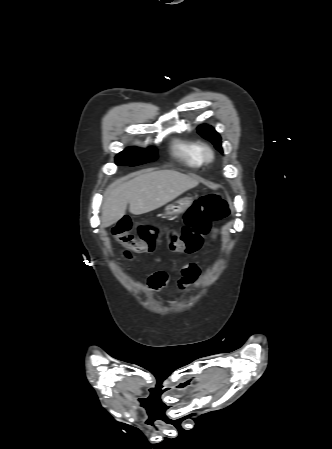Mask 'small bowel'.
Instances as JSON below:
<instances>
[{
    "mask_svg": "<svg viewBox=\"0 0 332 449\" xmlns=\"http://www.w3.org/2000/svg\"><path fill=\"white\" fill-rule=\"evenodd\" d=\"M161 258H155L151 264L161 262ZM182 277L177 282L180 292L184 291L190 284L194 283L200 276V269L196 263L188 261L181 266ZM169 284V278L165 271L156 270L151 272L147 278V286L150 291L157 292Z\"/></svg>",
    "mask_w": 332,
    "mask_h": 449,
    "instance_id": "obj_1",
    "label": "small bowel"
}]
</instances>
